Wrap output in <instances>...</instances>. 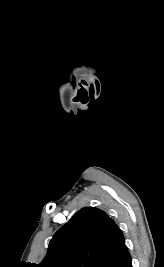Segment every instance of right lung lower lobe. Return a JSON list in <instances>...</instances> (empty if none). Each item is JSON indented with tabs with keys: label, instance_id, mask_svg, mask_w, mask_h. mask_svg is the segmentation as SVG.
Returning <instances> with one entry per match:
<instances>
[{
	"label": "right lung lower lobe",
	"instance_id": "obj_1",
	"mask_svg": "<svg viewBox=\"0 0 164 267\" xmlns=\"http://www.w3.org/2000/svg\"><path fill=\"white\" fill-rule=\"evenodd\" d=\"M99 267H132L131 257L126 246L122 247Z\"/></svg>",
	"mask_w": 164,
	"mask_h": 267
}]
</instances>
